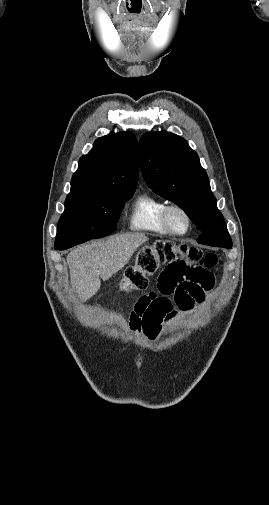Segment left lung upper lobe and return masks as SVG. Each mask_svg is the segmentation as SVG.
I'll return each instance as SVG.
<instances>
[{"label":"left lung upper lobe","instance_id":"obj_1","mask_svg":"<svg viewBox=\"0 0 269 505\" xmlns=\"http://www.w3.org/2000/svg\"><path fill=\"white\" fill-rule=\"evenodd\" d=\"M142 175L158 195L181 207L202 234L197 242L230 249L232 241L197 153L178 135L148 132L139 141Z\"/></svg>","mask_w":269,"mask_h":505}]
</instances>
